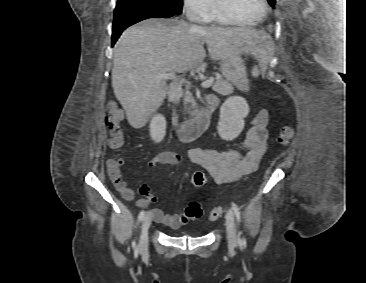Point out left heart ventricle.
I'll return each mask as SVG.
<instances>
[{"instance_id":"left-heart-ventricle-1","label":"left heart ventricle","mask_w":366,"mask_h":283,"mask_svg":"<svg viewBox=\"0 0 366 283\" xmlns=\"http://www.w3.org/2000/svg\"><path fill=\"white\" fill-rule=\"evenodd\" d=\"M233 13L244 22H253L264 11L262 0H229Z\"/></svg>"}]
</instances>
